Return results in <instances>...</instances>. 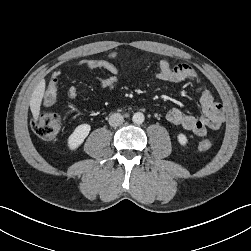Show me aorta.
Segmentation results:
<instances>
[{"label":"aorta","mask_w":251,"mask_h":251,"mask_svg":"<svg viewBox=\"0 0 251 251\" xmlns=\"http://www.w3.org/2000/svg\"><path fill=\"white\" fill-rule=\"evenodd\" d=\"M144 115L143 113L141 112H137L133 115L132 117V121L135 123V124H142L144 122Z\"/></svg>","instance_id":"762f6f07"}]
</instances>
